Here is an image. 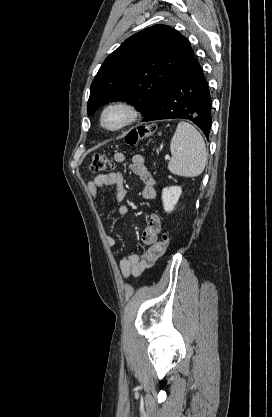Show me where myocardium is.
I'll return each instance as SVG.
<instances>
[{"label":"myocardium","mask_w":272,"mask_h":417,"mask_svg":"<svg viewBox=\"0 0 272 417\" xmlns=\"http://www.w3.org/2000/svg\"><path fill=\"white\" fill-rule=\"evenodd\" d=\"M117 111L122 114L121 120L115 125H108L106 117L110 112ZM139 117L135 104L127 99H117L107 104L100 114V125L108 132H119L132 125Z\"/></svg>","instance_id":"1"}]
</instances>
